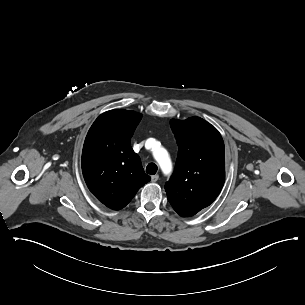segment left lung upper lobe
I'll return each instance as SVG.
<instances>
[{
  "mask_svg": "<svg viewBox=\"0 0 305 305\" xmlns=\"http://www.w3.org/2000/svg\"><path fill=\"white\" fill-rule=\"evenodd\" d=\"M179 146L176 166L165 190L174 210L190 217L209 206L225 182V148L218 130L199 117L172 119Z\"/></svg>",
  "mask_w": 305,
  "mask_h": 305,
  "instance_id": "5c2ea615",
  "label": "left lung upper lobe"
}]
</instances>
